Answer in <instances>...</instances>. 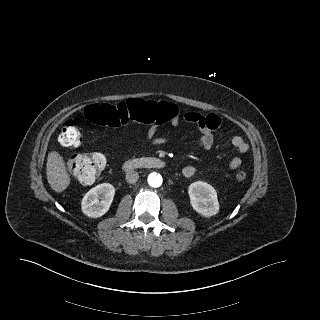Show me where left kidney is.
<instances>
[{
	"mask_svg": "<svg viewBox=\"0 0 320 320\" xmlns=\"http://www.w3.org/2000/svg\"><path fill=\"white\" fill-rule=\"evenodd\" d=\"M192 208L204 217H211L218 213L219 202L216 190L208 183L197 181L188 187Z\"/></svg>",
	"mask_w": 320,
	"mask_h": 320,
	"instance_id": "5707ae66",
	"label": "left kidney"
}]
</instances>
